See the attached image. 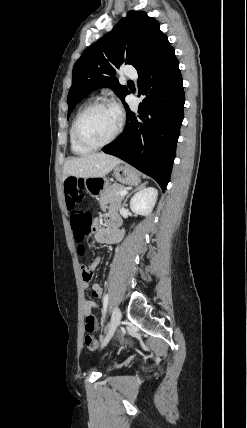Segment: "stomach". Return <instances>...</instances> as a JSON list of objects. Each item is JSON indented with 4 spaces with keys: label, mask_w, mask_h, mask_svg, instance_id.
Instances as JSON below:
<instances>
[{
    "label": "stomach",
    "mask_w": 247,
    "mask_h": 428,
    "mask_svg": "<svg viewBox=\"0 0 247 428\" xmlns=\"http://www.w3.org/2000/svg\"><path fill=\"white\" fill-rule=\"evenodd\" d=\"M113 176L117 181L127 185H134L140 182L136 170L128 165H116L113 169ZM109 185L105 177L86 178L84 186L92 197H98L103 190Z\"/></svg>",
    "instance_id": "0dacf381"
}]
</instances>
